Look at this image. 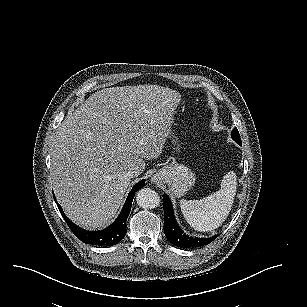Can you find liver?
I'll use <instances>...</instances> for the list:
<instances>
[{"instance_id":"liver-1","label":"liver","mask_w":307,"mask_h":307,"mask_svg":"<svg viewBox=\"0 0 307 307\" xmlns=\"http://www.w3.org/2000/svg\"><path fill=\"white\" fill-rule=\"evenodd\" d=\"M179 92L158 85L96 91L58 128L51 150L52 187L66 216L102 229L118 215L131 178L144 159H157L171 134Z\"/></svg>"}]
</instances>
